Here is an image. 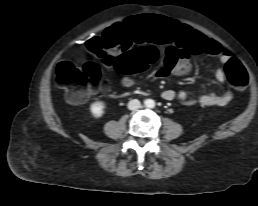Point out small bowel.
I'll list each match as a JSON object with an SVG mask.
<instances>
[{
  "label": "small bowel",
  "mask_w": 258,
  "mask_h": 206,
  "mask_svg": "<svg viewBox=\"0 0 258 206\" xmlns=\"http://www.w3.org/2000/svg\"><path fill=\"white\" fill-rule=\"evenodd\" d=\"M118 27L109 28L102 39L99 40L113 55L117 56L124 48V44L117 40L116 34ZM164 43L168 44L163 53L164 61L162 66L154 73L153 78H165L169 75L183 76L192 70L190 61L191 54L207 53L215 56L220 63H226L231 58V53L224 49L218 42L207 39L198 31L192 30L185 25H175L173 32L163 36ZM215 78L219 83H224L226 74L223 68L218 67L215 70ZM121 85L126 88L137 85L138 81L132 77H123ZM190 90H181L176 92L168 89L162 92V98L167 101H173L176 98L183 102L184 105H201V106H225L232 100V93L223 94L207 93L194 99H188Z\"/></svg>",
  "instance_id": "small-bowel-1"
}]
</instances>
